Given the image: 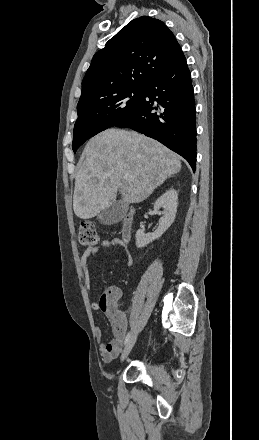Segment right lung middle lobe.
I'll return each instance as SVG.
<instances>
[{"instance_id":"right-lung-middle-lobe-1","label":"right lung middle lobe","mask_w":259,"mask_h":440,"mask_svg":"<svg viewBox=\"0 0 259 440\" xmlns=\"http://www.w3.org/2000/svg\"><path fill=\"white\" fill-rule=\"evenodd\" d=\"M147 88H131L78 108L74 126V152L89 138L128 118L141 104Z\"/></svg>"}]
</instances>
